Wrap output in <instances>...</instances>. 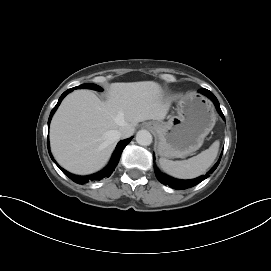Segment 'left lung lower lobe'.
Returning <instances> with one entry per match:
<instances>
[{
  "mask_svg": "<svg viewBox=\"0 0 271 271\" xmlns=\"http://www.w3.org/2000/svg\"><path fill=\"white\" fill-rule=\"evenodd\" d=\"M199 92L203 93L204 95H206L207 97H209L213 101V103L215 104V106L217 108V111L223 117V119H225L224 115L220 109L219 102H218L217 98L214 96V94L207 89H201V90H199ZM221 157H222V154H221L218 162L214 165V167L206 175H202V176L195 178V179H192V180L174 179L172 177H169V176L161 173L156 167H154V170H155V174H156L157 179L162 184L169 185L171 188L177 189V190L187 189V188H191V187L195 186L196 184L200 183L201 181H203L204 179L209 177V174L214 172V170L217 168Z\"/></svg>",
  "mask_w": 271,
  "mask_h": 271,
  "instance_id": "1",
  "label": "left lung lower lobe"
}]
</instances>
